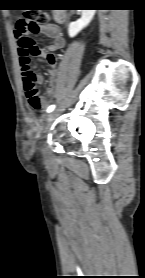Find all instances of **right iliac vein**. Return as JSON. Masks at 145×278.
Segmentation results:
<instances>
[{"label":"right iliac vein","instance_id":"right-iliac-vein-1","mask_svg":"<svg viewBox=\"0 0 145 278\" xmlns=\"http://www.w3.org/2000/svg\"><path fill=\"white\" fill-rule=\"evenodd\" d=\"M53 117H54V113H51L48 115L46 128L48 127V125H49L50 121L53 119Z\"/></svg>","mask_w":145,"mask_h":278}]
</instances>
